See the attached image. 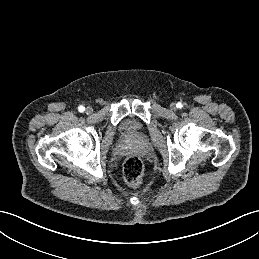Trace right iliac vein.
<instances>
[{
  "instance_id": "63e3f726",
  "label": "right iliac vein",
  "mask_w": 259,
  "mask_h": 259,
  "mask_svg": "<svg viewBox=\"0 0 259 259\" xmlns=\"http://www.w3.org/2000/svg\"><path fill=\"white\" fill-rule=\"evenodd\" d=\"M85 112H86V114H91L93 112L92 107H87Z\"/></svg>"
}]
</instances>
